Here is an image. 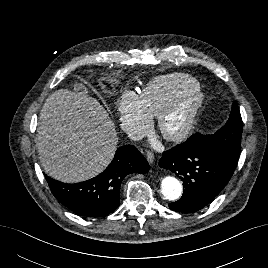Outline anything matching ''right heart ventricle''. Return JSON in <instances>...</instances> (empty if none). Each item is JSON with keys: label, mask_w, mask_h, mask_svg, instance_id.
<instances>
[{"label": "right heart ventricle", "mask_w": 268, "mask_h": 268, "mask_svg": "<svg viewBox=\"0 0 268 268\" xmlns=\"http://www.w3.org/2000/svg\"><path fill=\"white\" fill-rule=\"evenodd\" d=\"M191 86H199V82L188 74H164L146 83L141 97L152 115L156 116L174 96Z\"/></svg>", "instance_id": "obj_1"}]
</instances>
